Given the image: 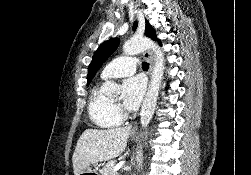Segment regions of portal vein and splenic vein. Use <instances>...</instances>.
Segmentation results:
<instances>
[{
  "label": "portal vein and splenic vein",
  "mask_w": 251,
  "mask_h": 175,
  "mask_svg": "<svg viewBox=\"0 0 251 175\" xmlns=\"http://www.w3.org/2000/svg\"><path fill=\"white\" fill-rule=\"evenodd\" d=\"M124 161H120V163H117V165H115L113 171H117V169H120L121 165H123Z\"/></svg>",
  "instance_id": "18ae733b"
}]
</instances>
